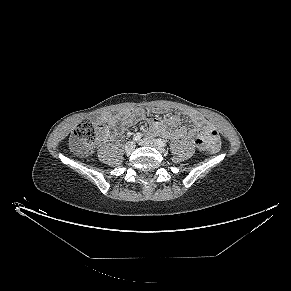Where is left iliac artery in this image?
<instances>
[{
	"label": "left iliac artery",
	"mask_w": 291,
	"mask_h": 291,
	"mask_svg": "<svg viewBox=\"0 0 291 291\" xmlns=\"http://www.w3.org/2000/svg\"><path fill=\"white\" fill-rule=\"evenodd\" d=\"M156 142L158 145H160L161 147H166L167 144L165 143V141L161 140V139H156Z\"/></svg>",
	"instance_id": "1"
}]
</instances>
